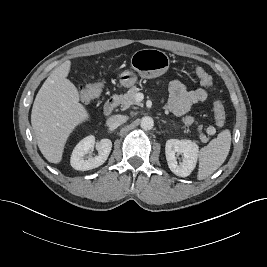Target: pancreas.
I'll list each match as a JSON object with an SVG mask.
<instances>
[{
  "label": "pancreas",
  "instance_id": "obj_1",
  "mask_svg": "<svg viewBox=\"0 0 267 267\" xmlns=\"http://www.w3.org/2000/svg\"><path fill=\"white\" fill-rule=\"evenodd\" d=\"M140 91L139 88L136 86H132L127 93L123 95L118 96V103L120 104L121 108L123 110L128 109L131 105L139 104V102L136 101V94ZM182 122L185 124V126L189 127L193 123H197L195 121V118L192 116H186L182 118ZM203 126L199 125L197 128V131L199 132V138L201 142L206 143L209 138L202 133Z\"/></svg>",
  "mask_w": 267,
  "mask_h": 267
}]
</instances>
